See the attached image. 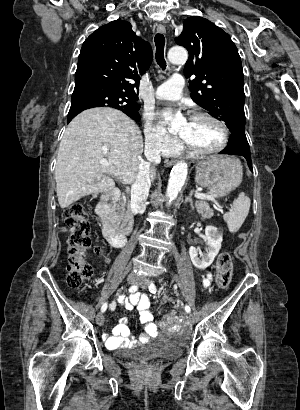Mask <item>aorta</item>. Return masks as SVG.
<instances>
[{"label":"aorta","mask_w":300,"mask_h":410,"mask_svg":"<svg viewBox=\"0 0 300 410\" xmlns=\"http://www.w3.org/2000/svg\"><path fill=\"white\" fill-rule=\"evenodd\" d=\"M188 59V53L183 47H173L168 52V60L173 64H184ZM181 120L175 119L171 122L173 129L179 128ZM188 173V166L185 162H178L171 170L170 178L167 186V204L170 205L174 201L183 185L185 184Z\"/></svg>","instance_id":"1"}]
</instances>
